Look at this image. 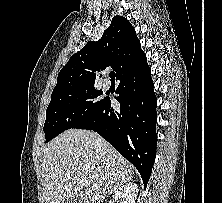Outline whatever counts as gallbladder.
I'll use <instances>...</instances> for the list:
<instances>
[{"label":"gallbladder","instance_id":"obj_1","mask_svg":"<svg viewBox=\"0 0 222 203\" xmlns=\"http://www.w3.org/2000/svg\"><path fill=\"white\" fill-rule=\"evenodd\" d=\"M61 203H77L76 200H63Z\"/></svg>","mask_w":222,"mask_h":203}]
</instances>
